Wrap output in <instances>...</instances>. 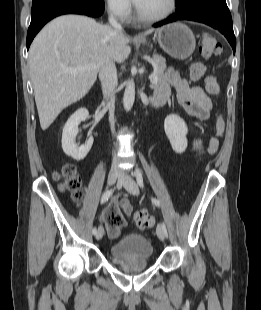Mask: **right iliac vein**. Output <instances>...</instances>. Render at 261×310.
<instances>
[{"instance_id":"right-iliac-vein-1","label":"right iliac vein","mask_w":261,"mask_h":310,"mask_svg":"<svg viewBox=\"0 0 261 310\" xmlns=\"http://www.w3.org/2000/svg\"><path fill=\"white\" fill-rule=\"evenodd\" d=\"M119 177H120V172L117 169H112L108 175V180H107L108 186H112L116 182L117 178ZM103 235H104V229L102 226H100L96 233V239L100 240L103 237Z\"/></svg>"}]
</instances>
